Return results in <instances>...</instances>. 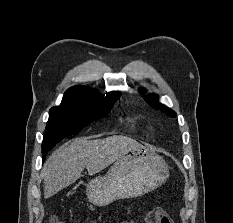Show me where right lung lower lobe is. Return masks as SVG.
Wrapping results in <instances>:
<instances>
[{
    "label": "right lung lower lobe",
    "mask_w": 233,
    "mask_h": 223,
    "mask_svg": "<svg viewBox=\"0 0 233 223\" xmlns=\"http://www.w3.org/2000/svg\"><path fill=\"white\" fill-rule=\"evenodd\" d=\"M50 151V150H49ZM48 151L47 152H43L42 151V154H43V160L45 159L46 155H47Z\"/></svg>",
    "instance_id": "obj_1"
}]
</instances>
